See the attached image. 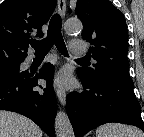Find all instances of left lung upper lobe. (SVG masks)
Here are the masks:
<instances>
[{
	"label": "left lung upper lobe",
	"mask_w": 144,
	"mask_h": 137,
	"mask_svg": "<svg viewBox=\"0 0 144 137\" xmlns=\"http://www.w3.org/2000/svg\"><path fill=\"white\" fill-rule=\"evenodd\" d=\"M75 12L83 23L82 38L93 45L90 59L96 60L93 68H78V76L86 81L107 76L133 83L123 14L109 0H77Z\"/></svg>",
	"instance_id": "1"
}]
</instances>
